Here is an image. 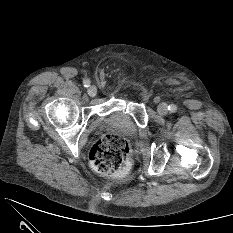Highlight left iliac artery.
Here are the masks:
<instances>
[{
  "label": "left iliac artery",
  "instance_id": "obj_1",
  "mask_svg": "<svg viewBox=\"0 0 233 233\" xmlns=\"http://www.w3.org/2000/svg\"><path fill=\"white\" fill-rule=\"evenodd\" d=\"M168 109L170 110V112H176L177 107L175 104H171V105H169Z\"/></svg>",
  "mask_w": 233,
  "mask_h": 233
}]
</instances>
